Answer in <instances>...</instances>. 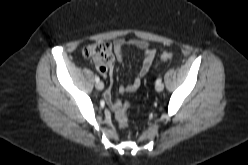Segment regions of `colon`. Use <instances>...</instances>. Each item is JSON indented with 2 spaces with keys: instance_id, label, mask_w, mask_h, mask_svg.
I'll list each match as a JSON object with an SVG mask.
<instances>
[{
  "instance_id": "colon-1",
  "label": "colon",
  "mask_w": 248,
  "mask_h": 165,
  "mask_svg": "<svg viewBox=\"0 0 248 165\" xmlns=\"http://www.w3.org/2000/svg\"><path fill=\"white\" fill-rule=\"evenodd\" d=\"M86 59L93 61L99 71H107L111 67L113 61L112 46L108 42H96L87 45L82 52ZM170 52H163L160 56L161 60L167 61L172 59ZM111 106L116 111V120L121 128L128 126L127 111L131 107L128 102L121 103L119 101L110 100Z\"/></svg>"
}]
</instances>
